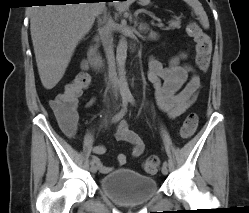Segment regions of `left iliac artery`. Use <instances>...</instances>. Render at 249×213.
<instances>
[{
	"label": "left iliac artery",
	"mask_w": 249,
	"mask_h": 213,
	"mask_svg": "<svg viewBox=\"0 0 249 213\" xmlns=\"http://www.w3.org/2000/svg\"><path fill=\"white\" fill-rule=\"evenodd\" d=\"M129 101H130L132 104H135V100H134L133 97H130V98H129ZM163 165L167 166L168 163L165 161V162L163 163Z\"/></svg>",
	"instance_id": "obj_1"
}]
</instances>
